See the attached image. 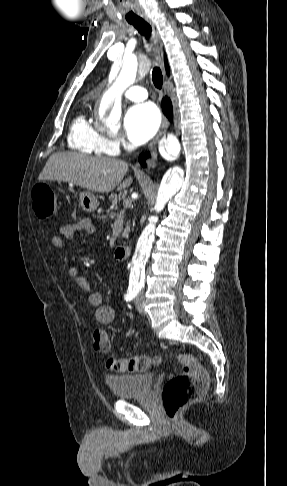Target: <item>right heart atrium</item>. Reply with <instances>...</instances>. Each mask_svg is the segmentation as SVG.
Masks as SVG:
<instances>
[{
  "label": "right heart atrium",
  "mask_w": 287,
  "mask_h": 486,
  "mask_svg": "<svg viewBox=\"0 0 287 486\" xmlns=\"http://www.w3.org/2000/svg\"><path fill=\"white\" fill-rule=\"evenodd\" d=\"M122 145H124V141L118 137L109 138L105 141V147L110 153H117Z\"/></svg>",
  "instance_id": "obj_1"
}]
</instances>
